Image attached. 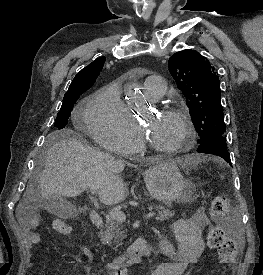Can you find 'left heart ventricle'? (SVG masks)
<instances>
[{"label":"left heart ventricle","mask_w":263,"mask_h":275,"mask_svg":"<svg viewBox=\"0 0 263 275\" xmlns=\"http://www.w3.org/2000/svg\"><path fill=\"white\" fill-rule=\"evenodd\" d=\"M144 130L154 144L165 148L178 145L185 134L180 120L157 112L145 118Z\"/></svg>","instance_id":"left-heart-ventricle-1"}]
</instances>
